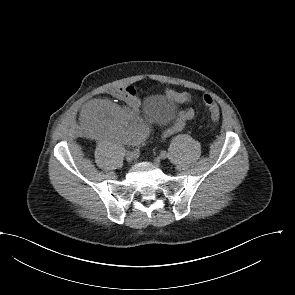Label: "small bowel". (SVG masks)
<instances>
[{"mask_svg":"<svg viewBox=\"0 0 295 295\" xmlns=\"http://www.w3.org/2000/svg\"><path fill=\"white\" fill-rule=\"evenodd\" d=\"M165 92L169 98L178 103H188L191 100L190 95L184 92L170 88ZM112 96L124 101L131 110L121 109L109 100H91L82 109L83 122L103 137L123 143L143 142L150 133V125L138 114L141 100L137 90L130 85L118 87L112 91ZM193 115L192 109L184 110L175 123L166 130L165 136L180 131Z\"/></svg>","mask_w":295,"mask_h":295,"instance_id":"1","label":"small bowel"}]
</instances>
